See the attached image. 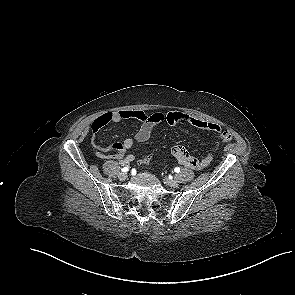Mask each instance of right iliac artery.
Instances as JSON below:
<instances>
[{"label":"right iliac artery","mask_w":295,"mask_h":295,"mask_svg":"<svg viewBox=\"0 0 295 295\" xmlns=\"http://www.w3.org/2000/svg\"><path fill=\"white\" fill-rule=\"evenodd\" d=\"M128 170H129L128 167H124V168L121 169L122 172H127Z\"/></svg>","instance_id":"right-iliac-artery-1"}]
</instances>
